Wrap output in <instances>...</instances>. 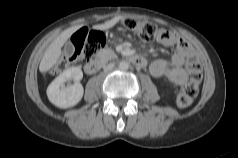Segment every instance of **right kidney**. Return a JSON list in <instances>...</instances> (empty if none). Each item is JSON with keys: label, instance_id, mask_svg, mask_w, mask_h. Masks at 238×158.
Returning <instances> with one entry per match:
<instances>
[{"label": "right kidney", "instance_id": "obj_1", "mask_svg": "<svg viewBox=\"0 0 238 158\" xmlns=\"http://www.w3.org/2000/svg\"><path fill=\"white\" fill-rule=\"evenodd\" d=\"M83 72L79 67H71L63 71L47 88L49 101L56 107L66 109L80 102L84 89L80 84ZM73 80L74 84L65 86L66 82Z\"/></svg>", "mask_w": 238, "mask_h": 158}]
</instances>
